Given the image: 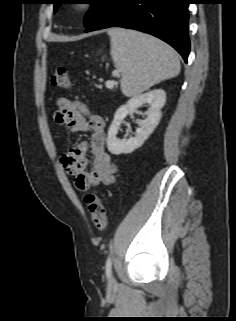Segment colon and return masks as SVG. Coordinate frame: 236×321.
<instances>
[{
	"mask_svg": "<svg viewBox=\"0 0 236 321\" xmlns=\"http://www.w3.org/2000/svg\"><path fill=\"white\" fill-rule=\"evenodd\" d=\"M50 82L55 87L70 89L72 87L71 80L67 70L63 67H58L50 78ZM85 203L91 215L94 227L98 231H104L107 226L106 209L102 198L96 192H88L85 196Z\"/></svg>",
	"mask_w": 236,
	"mask_h": 321,
	"instance_id": "5ec220e1",
	"label": "colon"
}]
</instances>
